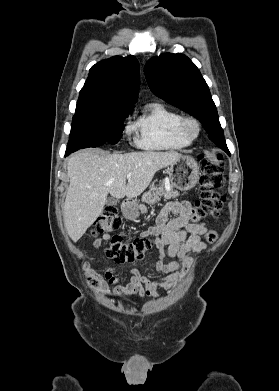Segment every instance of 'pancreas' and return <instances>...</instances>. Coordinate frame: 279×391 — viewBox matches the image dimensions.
I'll use <instances>...</instances> for the list:
<instances>
[{"mask_svg": "<svg viewBox=\"0 0 279 391\" xmlns=\"http://www.w3.org/2000/svg\"><path fill=\"white\" fill-rule=\"evenodd\" d=\"M165 184V181H161L159 186L152 185L150 189L142 195V202L147 205H153L156 202H159L161 197H164L165 200H169L175 199L180 195L178 191H175L172 188L167 190ZM139 209L142 214L148 212V208L144 204H141Z\"/></svg>", "mask_w": 279, "mask_h": 391, "instance_id": "pancreas-1", "label": "pancreas"}]
</instances>
